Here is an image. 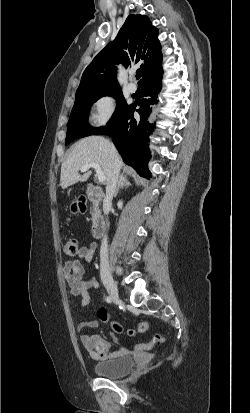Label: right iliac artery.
Wrapping results in <instances>:
<instances>
[{
	"label": "right iliac artery",
	"instance_id": "1",
	"mask_svg": "<svg viewBox=\"0 0 250 413\" xmlns=\"http://www.w3.org/2000/svg\"><path fill=\"white\" fill-rule=\"evenodd\" d=\"M111 301H112L111 297L107 296V297H106V302H107V303H111Z\"/></svg>",
	"mask_w": 250,
	"mask_h": 413
}]
</instances>
